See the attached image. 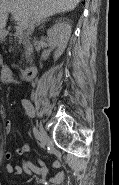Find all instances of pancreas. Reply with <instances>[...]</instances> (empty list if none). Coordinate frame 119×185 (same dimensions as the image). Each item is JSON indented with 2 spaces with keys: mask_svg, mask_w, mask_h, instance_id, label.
<instances>
[{
  "mask_svg": "<svg viewBox=\"0 0 119 185\" xmlns=\"http://www.w3.org/2000/svg\"><path fill=\"white\" fill-rule=\"evenodd\" d=\"M14 39L17 40L20 44L24 45L25 48V58L28 61L29 60V56L32 52V47L27 39L26 36H24L22 33H16L14 35ZM10 42H12V39H10Z\"/></svg>",
  "mask_w": 119,
  "mask_h": 185,
  "instance_id": "pancreas-1",
  "label": "pancreas"
}]
</instances>
